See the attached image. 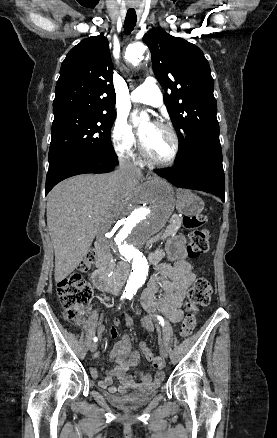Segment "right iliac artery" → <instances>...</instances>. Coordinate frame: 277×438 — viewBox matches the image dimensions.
Here are the masks:
<instances>
[{"instance_id":"right-iliac-artery-1","label":"right iliac artery","mask_w":277,"mask_h":438,"mask_svg":"<svg viewBox=\"0 0 277 438\" xmlns=\"http://www.w3.org/2000/svg\"><path fill=\"white\" fill-rule=\"evenodd\" d=\"M125 297H126L125 295H124V296H122V297H121V300H123V299H124ZM97 340H98V338H97V337H94V338H93V341H94V342H97Z\"/></svg>"}]
</instances>
